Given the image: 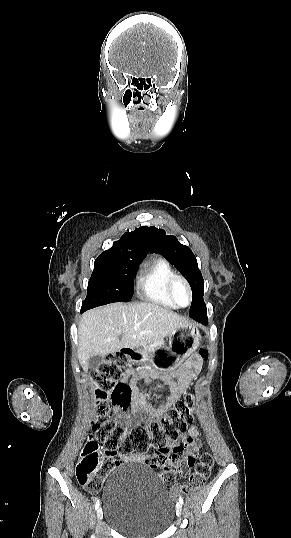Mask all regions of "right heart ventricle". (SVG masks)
Listing matches in <instances>:
<instances>
[{"label": "right heart ventricle", "instance_id": "right-heart-ventricle-1", "mask_svg": "<svg viewBox=\"0 0 291 538\" xmlns=\"http://www.w3.org/2000/svg\"><path fill=\"white\" fill-rule=\"evenodd\" d=\"M176 275L171 264L163 257L148 260L140 269L137 286L148 301L168 308H175L168 294V282Z\"/></svg>", "mask_w": 291, "mask_h": 538}]
</instances>
